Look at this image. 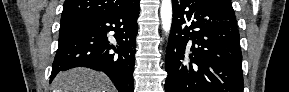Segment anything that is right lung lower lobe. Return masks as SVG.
<instances>
[{"label": "right lung lower lobe", "instance_id": "98d812e1", "mask_svg": "<svg viewBox=\"0 0 289 92\" xmlns=\"http://www.w3.org/2000/svg\"><path fill=\"white\" fill-rule=\"evenodd\" d=\"M139 2L85 20L59 37L50 82L60 71L87 67L106 73L119 92H133ZM109 32L114 38L107 37Z\"/></svg>", "mask_w": 289, "mask_h": 92}]
</instances>
